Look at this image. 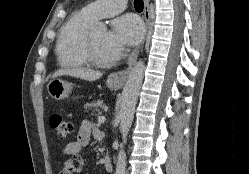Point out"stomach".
Instances as JSON below:
<instances>
[{"label":"stomach","mask_w":249,"mask_h":174,"mask_svg":"<svg viewBox=\"0 0 249 174\" xmlns=\"http://www.w3.org/2000/svg\"><path fill=\"white\" fill-rule=\"evenodd\" d=\"M107 86L110 89L119 88V85L113 82L111 79L107 80ZM72 88L73 86L71 83H68L67 81L62 79H53L47 85V91L49 95L56 100H61L68 97V95L71 93Z\"/></svg>","instance_id":"obj_1"}]
</instances>
